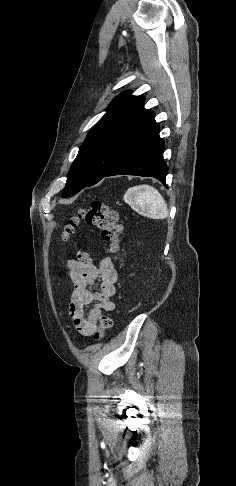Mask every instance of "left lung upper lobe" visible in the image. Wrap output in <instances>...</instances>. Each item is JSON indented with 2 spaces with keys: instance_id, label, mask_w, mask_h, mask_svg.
Here are the masks:
<instances>
[{
  "instance_id": "left-lung-upper-lobe-1",
  "label": "left lung upper lobe",
  "mask_w": 236,
  "mask_h": 486,
  "mask_svg": "<svg viewBox=\"0 0 236 486\" xmlns=\"http://www.w3.org/2000/svg\"><path fill=\"white\" fill-rule=\"evenodd\" d=\"M145 98L124 91L88 133L73 161L63 197L99 182L130 145L155 123V113L143 107Z\"/></svg>"
}]
</instances>
